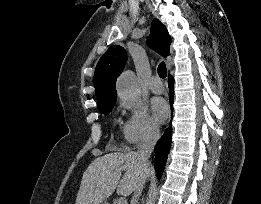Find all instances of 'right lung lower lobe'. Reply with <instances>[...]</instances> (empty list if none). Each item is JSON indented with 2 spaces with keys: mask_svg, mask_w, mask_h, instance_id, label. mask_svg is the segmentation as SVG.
<instances>
[{
  "mask_svg": "<svg viewBox=\"0 0 261 204\" xmlns=\"http://www.w3.org/2000/svg\"><path fill=\"white\" fill-rule=\"evenodd\" d=\"M168 84H169V97H170V106L171 110L173 111V98H174V79L171 75L168 77ZM171 133L172 128L171 124L170 126L165 130L164 135L159 139L155 146V170L156 175L158 178H160L163 174L164 166L168 157L169 149L171 146Z\"/></svg>",
  "mask_w": 261,
  "mask_h": 204,
  "instance_id": "1",
  "label": "right lung lower lobe"
}]
</instances>
